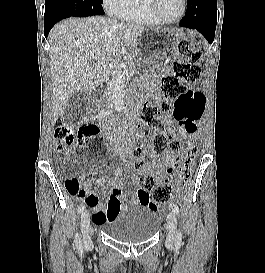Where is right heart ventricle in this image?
<instances>
[{
  "instance_id": "e07e8e85",
  "label": "right heart ventricle",
  "mask_w": 265,
  "mask_h": 273,
  "mask_svg": "<svg viewBox=\"0 0 265 273\" xmlns=\"http://www.w3.org/2000/svg\"><path fill=\"white\" fill-rule=\"evenodd\" d=\"M117 17L143 25H160L149 10L148 0H127Z\"/></svg>"
}]
</instances>
